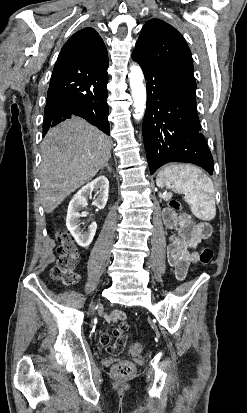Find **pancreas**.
<instances>
[{
  "mask_svg": "<svg viewBox=\"0 0 247 413\" xmlns=\"http://www.w3.org/2000/svg\"><path fill=\"white\" fill-rule=\"evenodd\" d=\"M159 196L160 198H163V200H169L172 196V192H168V194H161V192H159Z\"/></svg>",
  "mask_w": 247,
  "mask_h": 413,
  "instance_id": "pancreas-1",
  "label": "pancreas"
}]
</instances>
